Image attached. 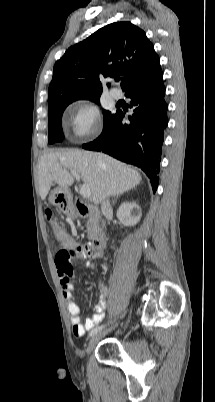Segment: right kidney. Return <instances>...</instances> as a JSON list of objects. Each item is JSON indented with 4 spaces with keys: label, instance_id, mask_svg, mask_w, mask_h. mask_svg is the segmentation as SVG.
Wrapping results in <instances>:
<instances>
[{
    "label": "right kidney",
    "instance_id": "ca27d5eb",
    "mask_svg": "<svg viewBox=\"0 0 215 402\" xmlns=\"http://www.w3.org/2000/svg\"><path fill=\"white\" fill-rule=\"evenodd\" d=\"M116 215L123 225L134 226L140 221L142 213L141 208L136 203L123 202Z\"/></svg>",
    "mask_w": 215,
    "mask_h": 402
}]
</instances>
